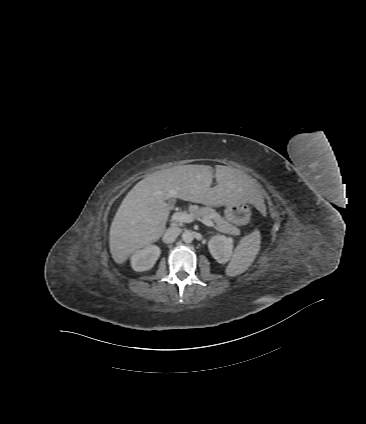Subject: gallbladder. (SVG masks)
<instances>
[{"label": "gallbladder", "mask_w": 366, "mask_h": 424, "mask_svg": "<svg viewBox=\"0 0 366 424\" xmlns=\"http://www.w3.org/2000/svg\"><path fill=\"white\" fill-rule=\"evenodd\" d=\"M169 202L172 204V203H173V200H172V199H170V200H169Z\"/></svg>", "instance_id": "gallbladder-1"}]
</instances>
